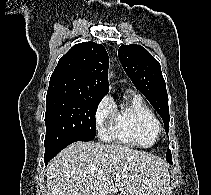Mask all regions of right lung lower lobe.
I'll use <instances>...</instances> for the list:
<instances>
[{
	"label": "right lung lower lobe",
	"mask_w": 211,
	"mask_h": 195,
	"mask_svg": "<svg viewBox=\"0 0 211 195\" xmlns=\"http://www.w3.org/2000/svg\"><path fill=\"white\" fill-rule=\"evenodd\" d=\"M75 141H68L59 145H56L49 150H45V156H44V162L47 163L57 154L59 153L62 149H64L66 146L69 144L73 143Z\"/></svg>",
	"instance_id": "98d812e1"
}]
</instances>
